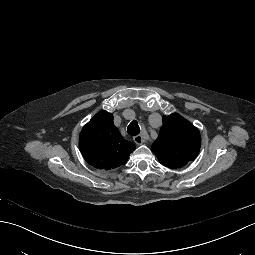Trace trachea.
<instances>
[{"mask_svg":"<svg viewBox=\"0 0 255 255\" xmlns=\"http://www.w3.org/2000/svg\"><path fill=\"white\" fill-rule=\"evenodd\" d=\"M127 133L131 136H135V135H138L140 133V127H139V124L136 120H133L128 128H127Z\"/></svg>","mask_w":255,"mask_h":255,"instance_id":"trachea-1","label":"trachea"}]
</instances>
